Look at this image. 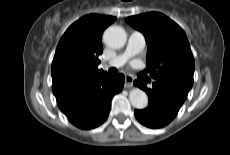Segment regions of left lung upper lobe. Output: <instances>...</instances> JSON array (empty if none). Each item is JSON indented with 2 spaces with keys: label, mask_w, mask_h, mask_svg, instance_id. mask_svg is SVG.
I'll list each match as a JSON object with an SVG mask.
<instances>
[{
  "label": "left lung upper lobe",
  "mask_w": 230,
  "mask_h": 155,
  "mask_svg": "<svg viewBox=\"0 0 230 155\" xmlns=\"http://www.w3.org/2000/svg\"><path fill=\"white\" fill-rule=\"evenodd\" d=\"M126 22L145 36L150 76L188 94L193 85L194 57L183 29L158 12L131 16Z\"/></svg>",
  "instance_id": "1"
}]
</instances>
